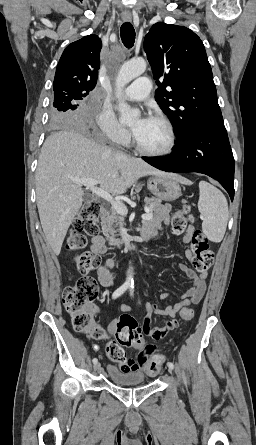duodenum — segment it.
I'll list each match as a JSON object with an SVG mask.
<instances>
[{
  "mask_svg": "<svg viewBox=\"0 0 256 445\" xmlns=\"http://www.w3.org/2000/svg\"><path fill=\"white\" fill-rule=\"evenodd\" d=\"M105 215H106V209L104 207H101L100 217L104 218ZM143 238H147V237L143 236ZM110 244L112 246L118 247V248L125 247V246L136 248L138 246L137 243L134 242V241L124 242V241H122V240H120L118 238H115V237L110 239Z\"/></svg>",
  "mask_w": 256,
  "mask_h": 445,
  "instance_id": "410a0bca",
  "label": "duodenum"
}]
</instances>
